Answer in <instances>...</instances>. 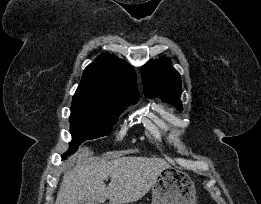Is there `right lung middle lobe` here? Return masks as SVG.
<instances>
[{
	"instance_id": "right-lung-middle-lobe-1",
	"label": "right lung middle lobe",
	"mask_w": 261,
	"mask_h": 204,
	"mask_svg": "<svg viewBox=\"0 0 261 204\" xmlns=\"http://www.w3.org/2000/svg\"><path fill=\"white\" fill-rule=\"evenodd\" d=\"M128 105H102L87 100H73L71 105L72 142L63 158L73 154L86 140L105 136L112 131L120 113Z\"/></svg>"
}]
</instances>
